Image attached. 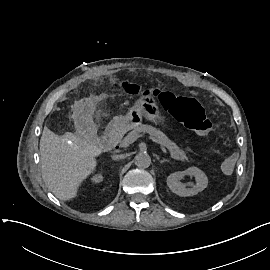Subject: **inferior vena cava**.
Instances as JSON below:
<instances>
[{
	"instance_id": "1",
	"label": "inferior vena cava",
	"mask_w": 270,
	"mask_h": 270,
	"mask_svg": "<svg viewBox=\"0 0 270 270\" xmlns=\"http://www.w3.org/2000/svg\"><path fill=\"white\" fill-rule=\"evenodd\" d=\"M126 157H128V154H121V155L115 154L112 156V159L117 161V160L125 159Z\"/></svg>"
}]
</instances>
